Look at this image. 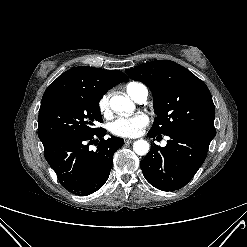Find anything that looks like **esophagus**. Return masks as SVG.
Wrapping results in <instances>:
<instances>
[{
  "label": "esophagus",
  "instance_id": "34e87169",
  "mask_svg": "<svg viewBox=\"0 0 247 247\" xmlns=\"http://www.w3.org/2000/svg\"><path fill=\"white\" fill-rule=\"evenodd\" d=\"M124 142H125V144H131L134 142V140L133 139H125Z\"/></svg>",
  "mask_w": 247,
  "mask_h": 247
}]
</instances>
